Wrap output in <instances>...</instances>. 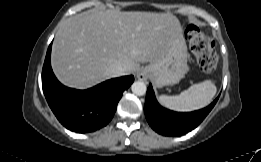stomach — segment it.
<instances>
[{
	"label": "stomach",
	"instance_id": "stomach-1",
	"mask_svg": "<svg viewBox=\"0 0 261 162\" xmlns=\"http://www.w3.org/2000/svg\"><path fill=\"white\" fill-rule=\"evenodd\" d=\"M187 46L181 28L171 39L166 53L143 68L147 77L157 86L178 83L188 70Z\"/></svg>",
	"mask_w": 261,
	"mask_h": 162
}]
</instances>
